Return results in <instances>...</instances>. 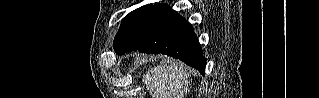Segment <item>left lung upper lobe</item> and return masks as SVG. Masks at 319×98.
Here are the masks:
<instances>
[{
	"label": "left lung upper lobe",
	"mask_w": 319,
	"mask_h": 98,
	"mask_svg": "<svg viewBox=\"0 0 319 98\" xmlns=\"http://www.w3.org/2000/svg\"><path fill=\"white\" fill-rule=\"evenodd\" d=\"M153 4L144 5L132 12H130L121 23V27L114 39L113 47L114 50H119L122 46H124L129 39L133 36V34L137 31L138 27L142 23L144 17L151 9Z\"/></svg>",
	"instance_id": "1"
}]
</instances>
